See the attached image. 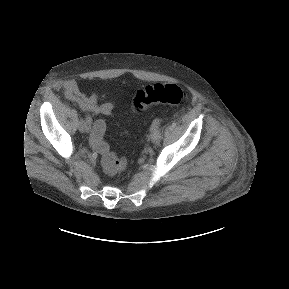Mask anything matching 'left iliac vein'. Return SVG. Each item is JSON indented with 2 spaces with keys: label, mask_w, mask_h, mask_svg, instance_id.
<instances>
[{
  "label": "left iliac vein",
  "mask_w": 289,
  "mask_h": 289,
  "mask_svg": "<svg viewBox=\"0 0 289 289\" xmlns=\"http://www.w3.org/2000/svg\"><path fill=\"white\" fill-rule=\"evenodd\" d=\"M150 139L154 143L158 142L161 139V133L158 127L151 129Z\"/></svg>",
  "instance_id": "left-iliac-vein-1"
}]
</instances>
